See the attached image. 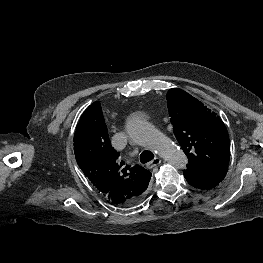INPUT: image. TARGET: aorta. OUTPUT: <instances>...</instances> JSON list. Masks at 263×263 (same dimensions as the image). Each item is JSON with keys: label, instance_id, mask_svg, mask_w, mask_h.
I'll use <instances>...</instances> for the list:
<instances>
[{"label": "aorta", "instance_id": "aorta-1", "mask_svg": "<svg viewBox=\"0 0 263 263\" xmlns=\"http://www.w3.org/2000/svg\"><path fill=\"white\" fill-rule=\"evenodd\" d=\"M126 129L135 142L150 148L174 167H186L188 160L184 152L147 121L133 116L128 119Z\"/></svg>", "mask_w": 263, "mask_h": 263}]
</instances>
